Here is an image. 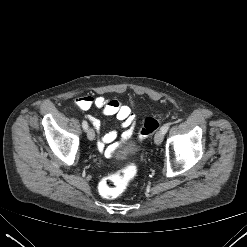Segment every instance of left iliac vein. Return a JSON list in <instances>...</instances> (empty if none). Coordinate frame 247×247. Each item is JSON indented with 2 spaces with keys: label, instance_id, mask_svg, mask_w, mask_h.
<instances>
[{
  "label": "left iliac vein",
  "instance_id": "left-iliac-vein-1",
  "mask_svg": "<svg viewBox=\"0 0 247 247\" xmlns=\"http://www.w3.org/2000/svg\"><path fill=\"white\" fill-rule=\"evenodd\" d=\"M163 138H164V134L162 130L158 131L154 137L155 144L160 145L163 141Z\"/></svg>",
  "mask_w": 247,
  "mask_h": 247
}]
</instances>
